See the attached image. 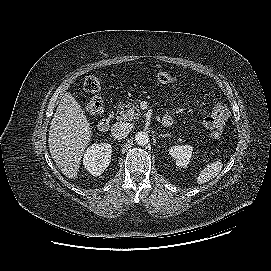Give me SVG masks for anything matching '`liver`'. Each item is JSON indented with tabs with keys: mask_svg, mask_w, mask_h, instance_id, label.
<instances>
[{
	"mask_svg": "<svg viewBox=\"0 0 271 271\" xmlns=\"http://www.w3.org/2000/svg\"><path fill=\"white\" fill-rule=\"evenodd\" d=\"M91 136L87 116L72 94L66 92L51 121L48 144L55 164L67 178L77 177Z\"/></svg>",
	"mask_w": 271,
	"mask_h": 271,
	"instance_id": "liver-1",
	"label": "liver"
}]
</instances>
